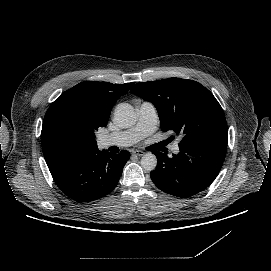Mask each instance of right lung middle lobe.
<instances>
[{"label": "right lung middle lobe", "instance_id": "1", "mask_svg": "<svg viewBox=\"0 0 271 271\" xmlns=\"http://www.w3.org/2000/svg\"><path fill=\"white\" fill-rule=\"evenodd\" d=\"M45 135L47 145L61 151L77 150L91 137L90 131L70 108L54 113L46 124Z\"/></svg>", "mask_w": 271, "mask_h": 271}]
</instances>
